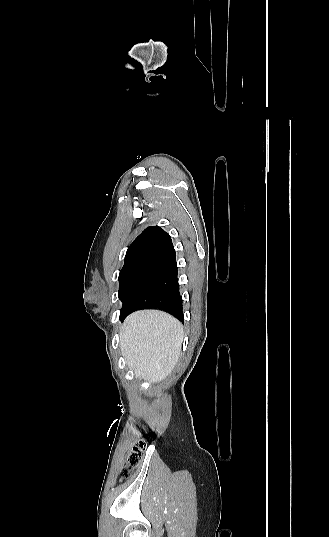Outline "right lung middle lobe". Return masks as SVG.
Listing matches in <instances>:
<instances>
[{
    "label": "right lung middle lobe",
    "mask_w": 329,
    "mask_h": 537,
    "mask_svg": "<svg viewBox=\"0 0 329 537\" xmlns=\"http://www.w3.org/2000/svg\"><path fill=\"white\" fill-rule=\"evenodd\" d=\"M148 263H133L123 266L119 273L120 288L118 297L121 301L127 294L128 289L137 278V276L147 267Z\"/></svg>",
    "instance_id": "obj_1"
}]
</instances>
